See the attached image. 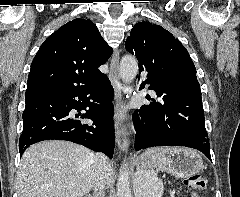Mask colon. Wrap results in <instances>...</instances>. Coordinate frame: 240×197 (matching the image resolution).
Returning a JSON list of instances; mask_svg holds the SVG:
<instances>
[{"mask_svg": "<svg viewBox=\"0 0 240 197\" xmlns=\"http://www.w3.org/2000/svg\"><path fill=\"white\" fill-rule=\"evenodd\" d=\"M185 183L192 190H200L205 187L206 178L201 173H194L186 178Z\"/></svg>", "mask_w": 240, "mask_h": 197, "instance_id": "obj_1", "label": "colon"}]
</instances>
